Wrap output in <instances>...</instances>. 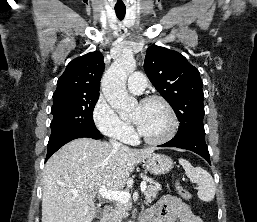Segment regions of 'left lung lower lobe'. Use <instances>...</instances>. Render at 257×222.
<instances>
[{
	"label": "left lung lower lobe",
	"mask_w": 257,
	"mask_h": 222,
	"mask_svg": "<svg viewBox=\"0 0 257 222\" xmlns=\"http://www.w3.org/2000/svg\"><path fill=\"white\" fill-rule=\"evenodd\" d=\"M159 147H177L187 149L202 156L208 163H210V155L204 134H188L182 137H174L169 142L159 145Z\"/></svg>",
	"instance_id": "0a47b994"
}]
</instances>
